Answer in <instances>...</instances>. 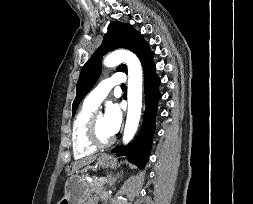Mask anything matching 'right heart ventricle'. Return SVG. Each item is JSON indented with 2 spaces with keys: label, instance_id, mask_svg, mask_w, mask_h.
Returning a JSON list of instances; mask_svg holds the SVG:
<instances>
[{
  "label": "right heart ventricle",
  "instance_id": "1",
  "mask_svg": "<svg viewBox=\"0 0 253 204\" xmlns=\"http://www.w3.org/2000/svg\"><path fill=\"white\" fill-rule=\"evenodd\" d=\"M94 108L83 104L77 113L72 126V149L76 159H81L94 154L97 150L87 137V127Z\"/></svg>",
  "mask_w": 253,
  "mask_h": 204
}]
</instances>
